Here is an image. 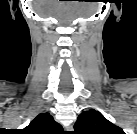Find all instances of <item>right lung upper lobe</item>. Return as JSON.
<instances>
[{"instance_id": "right-lung-upper-lobe-1", "label": "right lung upper lobe", "mask_w": 137, "mask_h": 134, "mask_svg": "<svg viewBox=\"0 0 137 134\" xmlns=\"http://www.w3.org/2000/svg\"><path fill=\"white\" fill-rule=\"evenodd\" d=\"M61 131V125L49 113L39 114L22 130L24 134H58Z\"/></svg>"}]
</instances>
